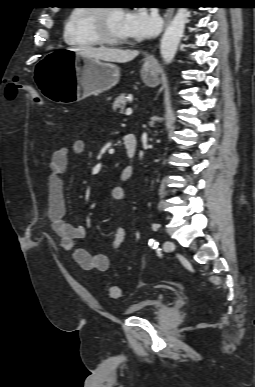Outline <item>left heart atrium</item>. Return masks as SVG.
I'll return each instance as SVG.
<instances>
[{"mask_svg":"<svg viewBox=\"0 0 255 387\" xmlns=\"http://www.w3.org/2000/svg\"><path fill=\"white\" fill-rule=\"evenodd\" d=\"M123 27L128 37L144 39L159 32L161 21L156 13L139 8L125 13Z\"/></svg>","mask_w":255,"mask_h":387,"instance_id":"39dd6f15","label":"left heart atrium"}]
</instances>
